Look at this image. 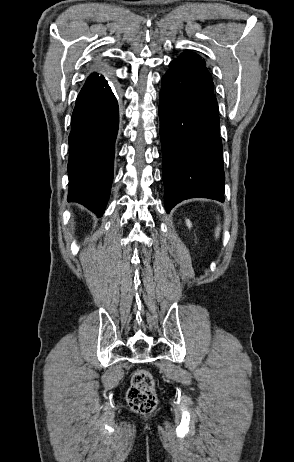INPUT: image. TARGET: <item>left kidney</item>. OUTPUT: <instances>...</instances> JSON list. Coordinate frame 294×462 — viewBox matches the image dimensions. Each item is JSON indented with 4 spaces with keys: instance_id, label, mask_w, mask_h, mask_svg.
Returning <instances> with one entry per match:
<instances>
[{
    "instance_id": "1",
    "label": "left kidney",
    "mask_w": 294,
    "mask_h": 462,
    "mask_svg": "<svg viewBox=\"0 0 294 462\" xmlns=\"http://www.w3.org/2000/svg\"><path fill=\"white\" fill-rule=\"evenodd\" d=\"M186 224H187L188 228H191L192 224H191V222L189 220H186Z\"/></svg>"
}]
</instances>
